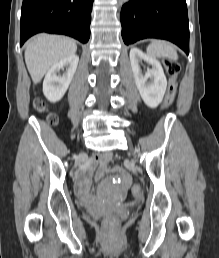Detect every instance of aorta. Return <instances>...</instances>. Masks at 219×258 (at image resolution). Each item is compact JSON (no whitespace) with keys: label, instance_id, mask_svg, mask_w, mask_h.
Instances as JSON below:
<instances>
[{"label":"aorta","instance_id":"aorta-1","mask_svg":"<svg viewBox=\"0 0 219 258\" xmlns=\"http://www.w3.org/2000/svg\"><path fill=\"white\" fill-rule=\"evenodd\" d=\"M129 0H121V2L125 3V2H128Z\"/></svg>","mask_w":219,"mask_h":258}]
</instances>
